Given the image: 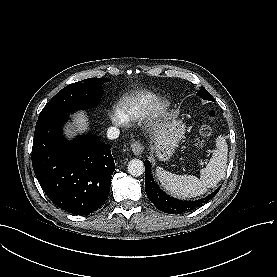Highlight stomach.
Returning a JSON list of instances; mask_svg holds the SVG:
<instances>
[{
  "mask_svg": "<svg viewBox=\"0 0 277 277\" xmlns=\"http://www.w3.org/2000/svg\"><path fill=\"white\" fill-rule=\"evenodd\" d=\"M184 133V124L174 117L161 123L152 136V151L156 157L160 161L170 160Z\"/></svg>",
  "mask_w": 277,
  "mask_h": 277,
  "instance_id": "stomach-1",
  "label": "stomach"
}]
</instances>
